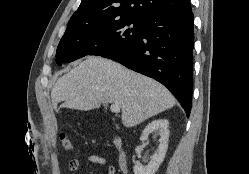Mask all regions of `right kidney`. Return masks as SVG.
<instances>
[{
	"label": "right kidney",
	"mask_w": 249,
	"mask_h": 174,
	"mask_svg": "<svg viewBox=\"0 0 249 174\" xmlns=\"http://www.w3.org/2000/svg\"><path fill=\"white\" fill-rule=\"evenodd\" d=\"M169 123L166 119H158L149 123L143 130L141 141H146L150 133H159V146L156 153L153 154L147 166L135 165L133 170L134 174H155L159 166L163 162L167 149L169 139Z\"/></svg>",
	"instance_id": "obj_1"
}]
</instances>
